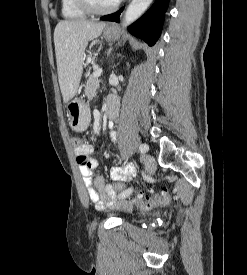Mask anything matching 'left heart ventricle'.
I'll use <instances>...</instances> for the list:
<instances>
[{"label":"left heart ventricle","instance_id":"left-heart-ventricle-1","mask_svg":"<svg viewBox=\"0 0 247 275\" xmlns=\"http://www.w3.org/2000/svg\"><path fill=\"white\" fill-rule=\"evenodd\" d=\"M90 3L96 8H109L115 4L116 0H89Z\"/></svg>","mask_w":247,"mask_h":275}]
</instances>
